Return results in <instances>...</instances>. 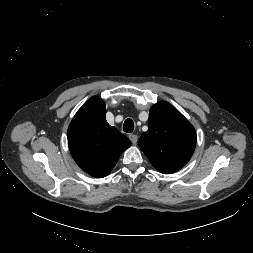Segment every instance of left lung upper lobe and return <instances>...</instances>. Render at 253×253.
Segmentation results:
<instances>
[{
	"mask_svg": "<svg viewBox=\"0 0 253 253\" xmlns=\"http://www.w3.org/2000/svg\"><path fill=\"white\" fill-rule=\"evenodd\" d=\"M195 146V129L180 112L168 102L152 107L139 147L158 171L171 174L183 168Z\"/></svg>",
	"mask_w": 253,
	"mask_h": 253,
	"instance_id": "obj_1",
	"label": "left lung upper lobe"
}]
</instances>
